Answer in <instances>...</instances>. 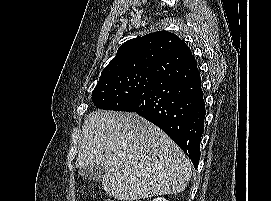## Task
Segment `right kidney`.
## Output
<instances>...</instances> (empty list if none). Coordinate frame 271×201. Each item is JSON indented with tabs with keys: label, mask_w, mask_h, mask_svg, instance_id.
I'll return each instance as SVG.
<instances>
[{
	"label": "right kidney",
	"mask_w": 271,
	"mask_h": 201,
	"mask_svg": "<svg viewBox=\"0 0 271 201\" xmlns=\"http://www.w3.org/2000/svg\"><path fill=\"white\" fill-rule=\"evenodd\" d=\"M152 201H168V200H166L163 197H158V198L153 199Z\"/></svg>",
	"instance_id": "ca27d5eb"
}]
</instances>
